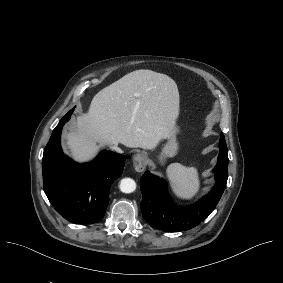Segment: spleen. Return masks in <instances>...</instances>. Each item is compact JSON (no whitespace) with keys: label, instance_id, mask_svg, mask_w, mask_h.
I'll return each mask as SVG.
<instances>
[{"label":"spleen","instance_id":"spleen-1","mask_svg":"<svg viewBox=\"0 0 283 283\" xmlns=\"http://www.w3.org/2000/svg\"><path fill=\"white\" fill-rule=\"evenodd\" d=\"M167 177L177 197L191 199L199 190L198 171L195 167H186L180 163H172L167 167Z\"/></svg>","mask_w":283,"mask_h":283}]
</instances>
